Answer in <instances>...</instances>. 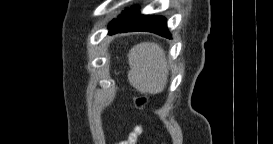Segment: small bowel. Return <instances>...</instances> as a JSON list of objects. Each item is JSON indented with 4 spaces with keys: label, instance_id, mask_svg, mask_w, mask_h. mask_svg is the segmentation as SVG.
Returning <instances> with one entry per match:
<instances>
[{
    "label": "small bowel",
    "instance_id": "c3829d8e",
    "mask_svg": "<svg viewBox=\"0 0 273 144\" xmlns=\"http://www.w3.org/2000/svg\"><path fill=\"white\" fill-rule=\"evenodd\" d=\"M143 128L142 126H137L134 131L131 133L128 142L129 144H133L136 142L137 138L142 134Z\"/></svg>",
    "mask_w": 273,
    "mask_h": 144
}]
</instances>
